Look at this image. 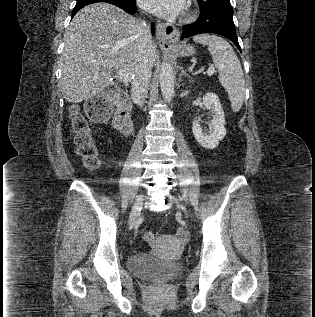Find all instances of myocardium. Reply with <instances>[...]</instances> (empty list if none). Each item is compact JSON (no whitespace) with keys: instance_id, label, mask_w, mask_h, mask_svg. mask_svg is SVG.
Here are the masks:
<instances>
[{"instance_id":"f54148a6","label":"myocardium","mask_w":315,"mask_h":317,"mask_svg":"<svg viewBox=\"0 0 315 317\" xmlns=\"http://www.w3.org/2000/svg\"><path fill=\"white\" fill-rule=\"evenodd\" d=\"M195 16V11L193 9V7L191 5H188L185 9V11L183 12L182 15V20L183 21H190L194 18Z\"/></svg>"}]
</instances>
